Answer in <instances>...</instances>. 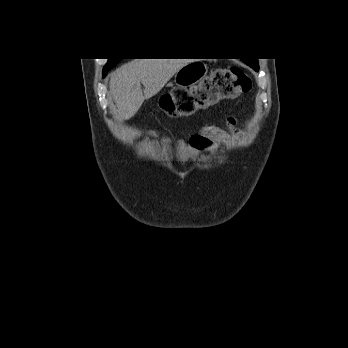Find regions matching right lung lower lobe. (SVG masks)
<instances>
[{
	"label": "right lung lower lobe",
	"mask_w": 348,
	"mask_h": 348,
	"mask_svg": "<svg viewBox=\"0 0 348 348\" xmlns=\"http://www.w3.org/2000/svg\"><path fill=\"white\" fill-rule=\"evenodd\" d=\"M107 71H108V70H103V77L106 76Z\"/></svg>",
	"instance_id": "1"
}]
</instances>
